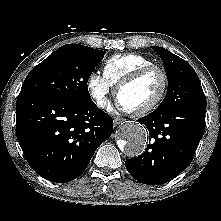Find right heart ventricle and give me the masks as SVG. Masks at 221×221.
<instances>
[{"label": "right heart ventricle", "instance_id": "obj_1", "mask_svg": "<svg viewBox=\"0 0 221 221\" xmlns=\"http://www.w3.org/2000/svg\"><path fill=\"white\" fill-rule=\"evenodd\" d=\"M152 64L153 60L138 53L116 54L105 62L103 75L112 86H116L134 71Z\"/></svg>", "mask_w": 221, "mask_h": 221}]
</instances>
